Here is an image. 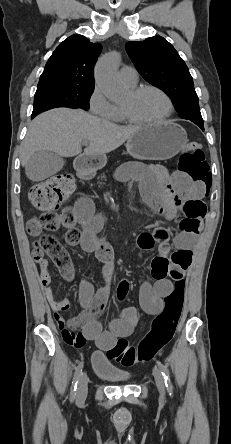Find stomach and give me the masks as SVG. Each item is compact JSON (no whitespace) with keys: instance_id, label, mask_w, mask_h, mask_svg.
Instances as JSON below:
<instances>
[{"instance_id":"0dacf381","label":"stomach","mask_w":231,"mask_h":444,"mask_svg":"<svg viewBox=\"0 0 231 444\" xmlns=\"http://www.w3.org/2000/svg\"><path fill=\"white\" fill-rule=\"evenodd\" d=\"M186 131L172 121L142 127L127 140V152L142 160H167L178 154L187 143ZM105 155H81L75 168L82 174H92L105 166Z\"/></svg>"}]
</instances>
